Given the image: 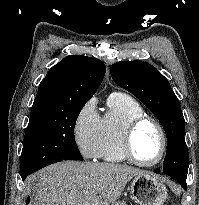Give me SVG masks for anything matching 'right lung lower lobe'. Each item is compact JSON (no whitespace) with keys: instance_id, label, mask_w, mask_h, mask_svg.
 <instances>
[{"instance_id":"obj_1","label":"right lung lower lobe","mask_w":199,"mask_h":205,"mask_svg":"<svg viewBox=\"0 0 199 205\" xmlns=\"http://www.w3.org/2000/svg\"><path fill=\"white\" fill-rule=\"evenodd\" d=\"M59 161H61V160L49 162V163L45 164L44 166H42V167H40V168H38V169H36V170H34V171H32V172H29V173H27V174H25V175H21V178H22V180H25V178H26L28 175H30L31 173H33V172H35V171H37V170H39V169H41V168H43V167H45V166H48V165H50V164H52V163H56V162H59Z\"/></svg>"}]
</instances>
